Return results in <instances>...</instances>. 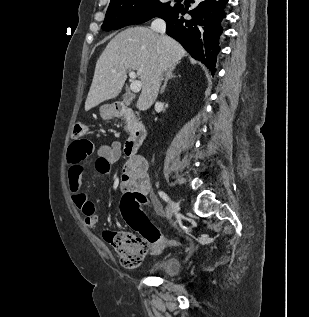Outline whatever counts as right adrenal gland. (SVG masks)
I'll use <instances>...</instances> for the list:
<instances>
[{"label": "right adrenal gland", "mask_w": 309, "mask_h": 317, "mask_svg": "<svg viewBox=\"0 0 309 317\" xmlns=\"http://www.w3.org/2000/svg\"><path fill=\"white\" fill-rule=\"evenodd\" d=\"M173 71H174V69H170V70L167 71L166 77H165V80H164V84H163V86L161 87V91H160L161 94L164 93V90H165V88H166V86H167L168 81H169L170 79L176 77V76L173 74Z\"/></svg>", "instance_id": "1"}]
</instances>
